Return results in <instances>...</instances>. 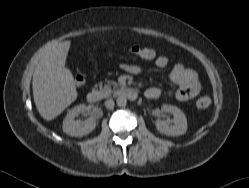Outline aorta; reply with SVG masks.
Segmentation results:
<instances>
[{"label": "aorta", "mask_w": 249, "mask_h": 188, "mask_svg": "<svg viewBox=\"0 0 249 188\" xmlns=\"http://www.w3.org/2000/svg\"><path fill=\"white\" fill-rule=\"evenodd\" d=\"M116 103L119 107H124L127 104V99L124 96H119L116 100Z\"/></svg>", "instance_id": "obj_1"}]
</instances>
